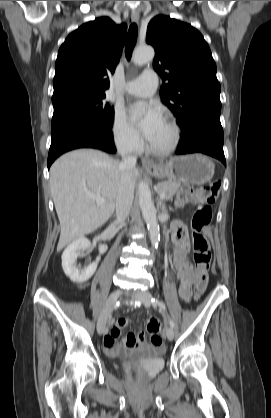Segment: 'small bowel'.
<instances>
[{
	"mask_svg": "<svg viewBox=\"0 0 271 418\" xmlns=\"http://www.w3.org/2000/svg\"><path fill=\"white\" fill-rule=\"evenodd\" d=\"M172 238L174 242L173 265L177 271L179 278V295L182 300L188 301L193 294V284L196 276L192 271L188 256L190 251V242L186 227L179 221L172 224ZM129 323L126 317L118 318L104 335V350L110 356H118L123 353L140 354L150 351H163L164 347L161 343L154 344L150 341L147 343L144 332L137 335L128 333L121 343L116 340L121 330ZM149 332V331H148ZM150 336L151 333L149 332ZM158 335V332H157Z\"/></svg>",
	"mask_w": 271,
	"mask_h": 418,
	"instance_id": "small-bowel-1",
	"label": "small bowel"
}]
</instances>
